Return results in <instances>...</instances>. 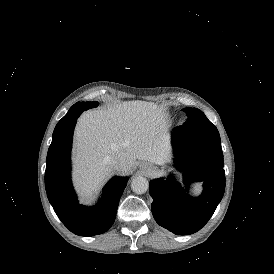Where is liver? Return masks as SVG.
<instances>
[{
  "mask_svg": "<svg viewBox=\"0 0 274 274\" xmlns=\"http://www.w3.org/2000/svg\"><path fill=\"white\" fill-rule=\"evenodd\" d=\"M164 109L152 102L126 101L84 113L76 128V182L91 195L113 171L105 157H117L124 173L136 159L161 165L167 160ZM159 141L161 143L159 144ZM160 145V146H159Z\"/></svg>",
  "mask_w": 274,
  "mask_h": 274,
  "instance_id": "liver-1",
  "label": "liver"
}]
</instances>
